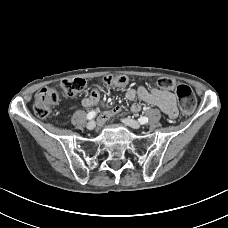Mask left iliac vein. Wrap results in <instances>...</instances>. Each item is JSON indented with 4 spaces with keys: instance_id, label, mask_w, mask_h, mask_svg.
<instances>
[{
    "instance_id": "1",
    "label": "left iliac vein",
    "mask_w": 228,
    "mask_h": 228,
    "mask_svg": "<svg viewBox=\"0 0 228 228\" xmlns=\"http://www.w3.org/2000/svg\"><path fill=\"white\" fill-rule=\"evenodd\" d=\"M122 122L124 124H126L127 126L134 128V129H139L141 127L139 122H137L136 120L129 119V118L122 119Z\"/></svg>"
}]
</instances>
